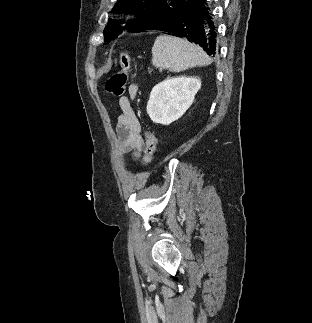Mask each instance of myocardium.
<instances>
[{
  "mask_svg": "<svg viewBox=\"0 0 312 323\" xmlns=\"http://www.w3.org/2000/svg\"><path fill=\"white\" fill-rule=\"evenodd\" d=\"M123 15H126V12H123ZM127 15H130V12H127Z\"/></svg>",
  "mask_w": 312,
  "mask_h": 323,
  "instance_id": "obj_1",
  "label": "myocardium"
}]
</instances>
